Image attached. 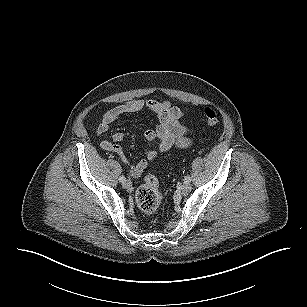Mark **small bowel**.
I'll return each mask as SVG.
<instances>
[{
	"instance_id": "obj_1",
	"label": "small bowel",
	"mask_w": 307,
	"mask_h": 307,
	"mask_svg": "<svg viewBox=\"0 0 307 307\" xmlns=\"http://www.w3.org/2000/svg\"><path fill=\"white\" fill-rule=\"evenodd\" d=\"M145 109L153 112L158 119L156 127L147 128L144 132V137L148 142L156 141L158 143L157 150L150 147L145 148L146 158L136 164H130L118 144L123 140L124 133L115 132L111 139H104L100 143L102 149L116 154L128 166L132 177H139L149 163L158 157L159 153L168 152L175 147H186L190 144L189 130L179 122V119L184 115V110L170 101L131 100L115 106L105 112L96 132L103 135L109 130L110 125L122 115Z\"/></svg>"
}]
</instances>
